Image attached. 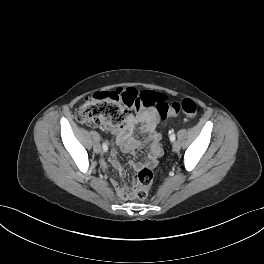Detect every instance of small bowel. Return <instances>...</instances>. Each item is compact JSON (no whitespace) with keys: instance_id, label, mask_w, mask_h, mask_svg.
<instances>
[{"instance_id":"obj_1","label":"small bowel","mask_w":264,"mask_h":264,"mask_svg":"<svg viewBox=\"0 0 264 264\" xmlns=\"http://www.w3.org/2000/svg\"><path fill=\"white\" fill-rule=\"evenodd\" d=\"M158 124V114L155 109H147L137 114L128 115L125 124L115 128L112 132L116 135V142L124 152H132L140 147V142L133 138L132 132L136 126L141 125V130L148 134L147 143L149 144V156L144 164L131 162L130 165L134 170H139L142 167H154L158 158L162 154V149L159 142V134L156 131ZM110 163L123 174L122 166L117 160V152L112 151L109 156ZM117 195L122 199L131 197L130 190L126 184L119 186L116 182L113 183Z\"/></svg>"}]
</instances>
